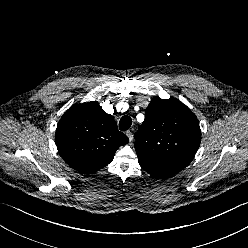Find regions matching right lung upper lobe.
Wrapping results in <instances>:
<instances>
[{
  "mask_svg": "<svg viewBox=\"0 0 248 248\" xmlns=\"http://www.w3.org/2000/svg\"><path fill=\"white\" fill-rule=\"evenodd\" d=\"M128 142L112 115L96 101L72 106L56 129L59 154L69 166L86 174L108 165L116 150Z\"/></svg>",
  "mask_w": 248,
  "mask_h": 248,
  "instance_id": "right-lung-upper-lobe-1",
  "label": "right lung upper lobe"
}]
</instances>
